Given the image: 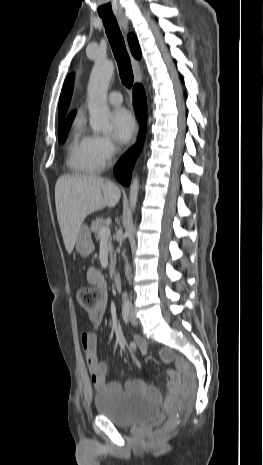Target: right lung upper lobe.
I'll use <instances>...</instances> for the list:
<instances>
[{
    "mask_svg": "<svg viewBox=\"0 0 263 465\" xmlns=\"http://www.w3.org/2000/svg\"><path fill=\"white\" fill-rule=\"evenodd\" d=\"M128 42H129V46H130L133 56L139 59L141 57V51H140V46H139L136 36L133 34H129ZM72 88H73V75H70L63 85L60 99H59V107H58L59 122L75 116V111H73L65 118V114L67 112V109L70 103Z\"/></svg>",
    "mask_w": 263,
    "mask_h": 465,
    "instance_id": "1",
    "label": "right lung upper lobe"
}]
</instances>
